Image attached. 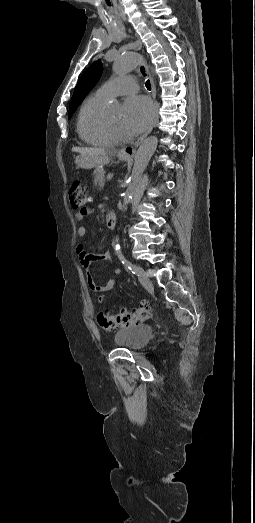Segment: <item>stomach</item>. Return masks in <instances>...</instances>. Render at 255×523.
I'll return each instance as SVG.
<instances>
[{
	"instance_id": "stomach-1",
	"label": "stomach",
	"mask_w": 255,
	"mask_h": 523,
	"mask_svg": "<svg viewBox=\"0 0 255 523\" xmlns=\"http://www.w3.org/2000/svg\"><path fill=\"white\" fill-rule=\"evenodd\" d=\"M118 158L119 160H123V162H127V160H130L132 158L129 150L125 148V150H120L118 152ZM109 158L106 156V160H101L100 158L96 159V155L94 153H91L89 155V158H85V156H77L75 160V164H77L78 168H84V170H91V168H98V166H104V164H108Z\"/></svg>"
}]
</instances>
